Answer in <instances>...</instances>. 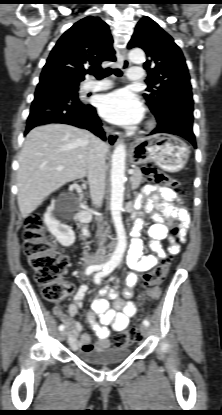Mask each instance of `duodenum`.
I'll return each instance as SVG.
<instances>
[{"label": "duodenum", "mask_w": 222, "mask_h": 415, "mask_svg": "<svg viewBox=\"0 0 222 415\" xmlns=\"http://www.w3.org/2000/svg\"><path fill=\"white\" fill-rule=\"evenodd\" d=\"M90 220V213L86 210H81L80 214H79V221L80 224L82 226V228L84 229V231L86 232V223Z\"/></svg>", "instance_id": "obj_1"}]
</instances>
